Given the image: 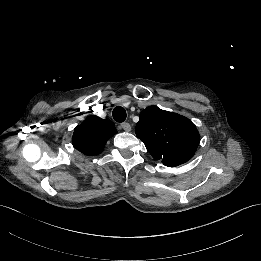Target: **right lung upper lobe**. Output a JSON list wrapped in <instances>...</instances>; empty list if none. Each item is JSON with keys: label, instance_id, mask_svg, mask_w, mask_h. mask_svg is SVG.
I'll return each mask as SVG.
<instances>
[{"label": "right lung upper lobe", "instance_id": "1", "mask_svg": "<svg viewBox=\"0 0 261 261\" xmlns=\"http://www.w3.org/2000/svg\"><path fill=\"white\" fill-rule=\"evenodd\" d=\"M116 133L110 121L91 115L74 129L73 146L85 155H98Z\"/></svg>", "mask_w": 261, "mask_h": 261}]
</instances>
